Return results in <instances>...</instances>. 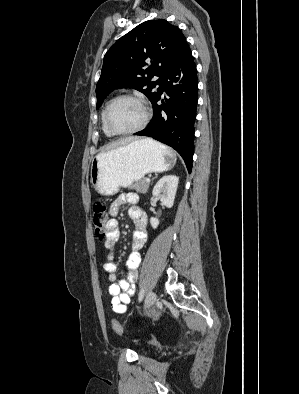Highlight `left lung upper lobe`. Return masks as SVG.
<instances>
[{"label":"left lung upper lobe","instance_id":"1","mask_svg":"<svg viewBox=\"0 0 299 394\" xmlns=\"http://www.w3.org/2000/svg\"><path fill=\"white\" fill-rule=\"evenodd\" d=\"M187 45L177 26L168 21L148 20L121 37L105 54L96 86L97 106L117 88H134L149 100L156 94L157 81ZM149 61L151 65L143 69Z\"/></svg>","mask_w":299,"mask_h":394}]
</instances>
